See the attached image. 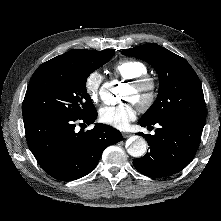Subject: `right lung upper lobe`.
I'll list each match as a JSON object with an SVG mask.
<instances>
[{
	"mask_svg": "<svg viewBox=\"0 0 221 221\" xmlns=\"http://www.w3.org/2000/svg\"><path fill=\"white\" fill-rule=\"evenodd\" d=\"M96 51H89V50H83V49H74L72 51H69L65 54L59 55L53 59L52 61L61 62V63H71V62H78L82 59H85L92 53Z\"/></svg>",
	"mask_w": 221,
	"mask_h": 221,
	"instance_id": "obj_1",
	"label": "right lung upper lobe"
}]
</instances>
